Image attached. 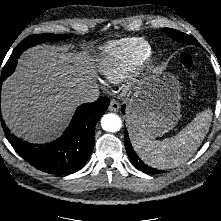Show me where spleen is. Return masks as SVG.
<instances>
[{"label":"spleen","mask_w":221,"mask_h":221,"mask_svg":"<svg viewBox=\"0 0 221 221\" xmlns=\"http://www.w3.org/2000/svg\"><path fill=\"white\" fill-rule=\"evenodd\" d=\"M212 119L210 109L200 112L184 129L163 141L134 137L138 156L149 166L166 170L186 162L204 140Z\"/></svg>","instance_id":"obj_1"}]
</instances>
